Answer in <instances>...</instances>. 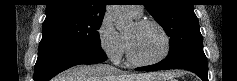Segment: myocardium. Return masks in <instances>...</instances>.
<instances>
[{
  "instance_id": "myocardium-1",
  "label": "myocardium",
  "mask_w": 237,
  "mask_h": 81,
  "mask_svg": "<svg viewBox=\"0 0 237 81\" xmlns=\"http://www.w3.org/2000/svg\"><path fill=\"white\" fill-rule=\"evenodd\" d=\"M135 24L138 27H145V26H149V25L156 27L160 31V33L162 34V36L164 38L165 49H164L163 53L155 59L142 60L139 57H137V55L135 54L132 44H131V41H130L129 37L126 35L125 42H126L127 52H128L130 61L133 64L138 65V66H148V65L157 64V63L163 61L169 55L170 50H171V40H170L168 33L163 28V26L161 24H159L157 21L151 20V19H139L135 22Z\"/></svg>"
}]
</instances>
